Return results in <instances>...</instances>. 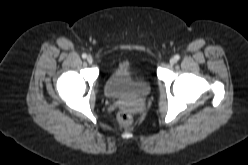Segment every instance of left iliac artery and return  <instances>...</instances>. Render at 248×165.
Masks as SVG:
<instances>
[{"label":"left iliac artery","instance_id":"44dca946","mask_svg":"<svg viewBox=\"0 0 248 165\" xmlns=\"http://www.w3.org/2000/svg\"><path fill=\"white\" fill-rule=\"evenodd\" d=\"M174 58H175L176 60H179V59H180V56H179V55H175Z\"/></svg>","mask_w":248,"mask_h":165}]
</instances>
